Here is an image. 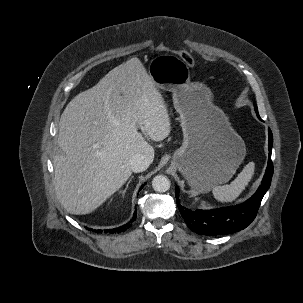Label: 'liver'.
Returning <instances> with one entry per match:
<instances>
[{"label":"liver","mask_w":303,"mask_h":303,"mask_svg":"<svg viewBox=\"0 0 303 303\" xmlns=\"http://www.w3.org/2000/svg\"><path fill=\"white\" fill-rule=\"evenodd\" d=\"M162 141L171 131L168 111L142 62L133 57L109 71L66 106L53 159L55 191L71 214L98 208L132 174L130 159L154 149L138 132Z\"/></svg>","instance_id":"1"}]
</instances>
